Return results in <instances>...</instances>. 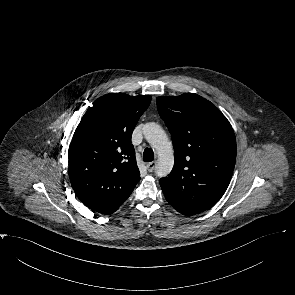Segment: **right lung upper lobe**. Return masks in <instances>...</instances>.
Segmentation results:
<instances>
[{
  "label": "right lung upper lobe",
  "mask_w": 295,
  "mask_h": 295,
  "mask_svg": "<svg viewBox=\"0 0 295 295\" xmlns=\"http://www.w3.org/2000/svg\"><path fill=\"white\" fill-rule=\"evenodd\" d=\"M150 102V95L106 94L76 128L68 151L69 177L77 197L93 211L114 213L139 181L131 136Z\"/></svg>",
  "instance_id": "cb5924a9"
}]
</instances>
